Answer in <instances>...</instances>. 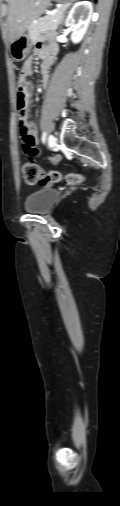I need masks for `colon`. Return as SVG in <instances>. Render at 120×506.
I'll return each instance as SVG.
<instances>
[{"instance_id":"5ec220e1","label":"colon","mask_w":120,"mask_h":506,"mask_svg":"<svg viewBox=\"0 0 120 506\" xmlns=\"http://www.w3.org/2000/svg\"><path fill=\"white\" fill-rule=\"evenodd\" d=\"M28 97L29 91L22 85L18 84L17 106L19 120L27 106ZM22 144L24 150L31 156L38 154L36 141L31 135H22ZM22 173L25 182L31 185L37 183L50 185L59 183L62 180L60 172L45 171L34 161L26 163L22 168ZM63 180L67 185H78L85 181V175L83 173H68L64 176Z\"/></svg>"}]
</instances>
